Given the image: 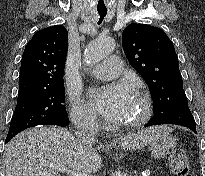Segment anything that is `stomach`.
I'll return each mask as SVG.
<instances>
[{
	"mask_svg": "<svg viewBox=\"0 0 205 176\" xmlns=\"http://www.w3.org/2000/svg\"><path fill=\"white\" fill-rule=\"evenodd\" d=\"M149 144L152 157L161 159L176 147V139L168 130H159Z\"/></svg>",
	"mask_w": 205,
	"mask_h": 176,
	"instance_id": "0dacf381",
	"label": "stomach"
}]
</instances>
